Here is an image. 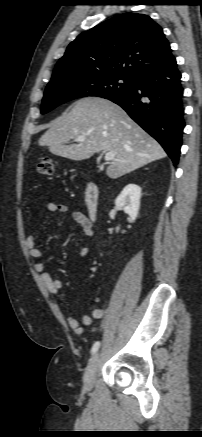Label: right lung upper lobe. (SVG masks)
I'll use <instances>...</instances> for the list:
<instances>
[{
  "label": "right lung upper lobe",
  "instance_id": "right-lung-upper-lobe-1",
  "mask_svg": "<svg viewBox=\"0 0 202 437\" xmlns=\"http://www.w3.org/2000/svg\"><path fill=\"white\" fill-rule=\"evenodd\" d=\"M171 58L170 44L156 22L144 14L125 13L71 42L56 64L52 80L105 73L135 78Z\"/></svg>",
  "mask_w": 202,
  "mask_h": 437
}]
</instances>
